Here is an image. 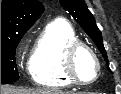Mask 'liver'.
I'll list each match as a JSON object with an SVG mask.
<instances>
[{
    "mask_svg": "<svg viewBox=\"0 0 121 94\" xmlns=\"http://www.w3.org/2000/svg\"><path fill=\"white\" fill-rule=\"evenodd\" d=\"M1 94H69L61 91L38 89V90H27L17 89L13 86L1 85Z\"/></svg>",
    "mask_w": 121,
    "mask_h": 94,
    "instance_id": "6515ba94",
    "label": "liver"
}]
</instances>
